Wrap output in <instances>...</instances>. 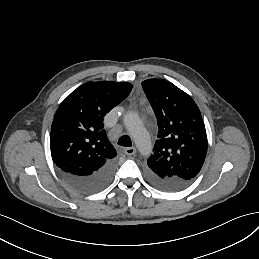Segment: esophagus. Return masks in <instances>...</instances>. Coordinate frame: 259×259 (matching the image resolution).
<instances>
[{
  "mask_svg": "<svg viewBox=\"0 0 259 259\" xmlns=\"http://www.w3.org/2000/svg\"><path fill=\"white\" fill-rule=\"evenodd\" d=\"M123 152L125 155H134L136 154V148L135 147L124 148Z\"/></svg>",
  "mask_w": 259,
  "mask_h": 259,
  "instance_id": "1",
  "label": "esophagus"
}]
</instances>
